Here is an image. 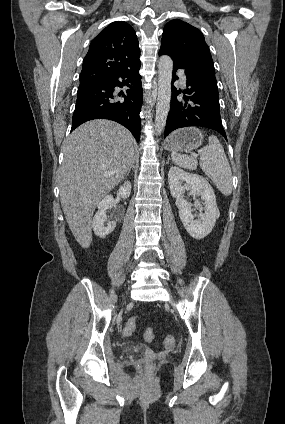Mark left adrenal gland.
I'll return each instance as SVG.
<instances>
[{"instance_id":"left-adrenal-gland-1","label":"left adrenal gland","mask_w":285,"mask_h":424,"mask_svg":"<svg viewBox=\"0 0 285 424\" xmlns=\"http://www.w3.org/2000/svg\"><path fill=\"white\" fill-rule=\"evenodd\" d=\"M169 161H170V157L168 156V160H167V162H166V163H167V164H169Z\"/></svg>"}]
</instances>
